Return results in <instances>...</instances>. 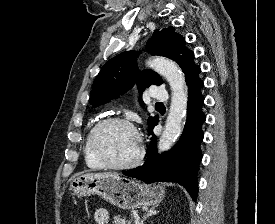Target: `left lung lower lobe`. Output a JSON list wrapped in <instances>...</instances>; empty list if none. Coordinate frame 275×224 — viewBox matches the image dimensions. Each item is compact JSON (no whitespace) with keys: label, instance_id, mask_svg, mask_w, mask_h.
I'll list each match as a JSON object with an SVG mask.
<instances>
[{"label":"left lung lower lobe","instance_id":"obj_1","mask_svg":"<svg viewBox=\"0 0 275 224\" xmlns=\"http://www.w3.org/2000/svg\"><path fill=\"white\" fill-rule=\"evenodd\" d=\"M197 69L187 80L188 104L187 120L183 133L176 146L170 152L162 155L157 153L156 136L153 133L156 121L149 128V135H152L147 153L146 161L142 166L124 172V175L142 180L145 183L154 182H177L184 186L193 200L198 195L197 171L202 160L200 143L203 140L202 124L205 122V114L202 112L204 97L200 90L203 81Z\"/></svg>","mask_w":275,"mask_h":224}]
</instances>
